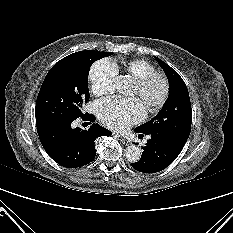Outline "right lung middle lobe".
<instances>
[{
	"mask_svg": "<svg viewBox=\"0 0 233 233\" xmlns=\"http://www.w3.org/2000/svg\"><path fill=\"white\" fill-rule=\"evenodd\" d=\"M112 52L84 50L58 61L46 75L39 91L36 125L58 124L81 117L89 100L88 75L91 65Z\"/></svg>",
	"mask_w": 233,
	"mask_h": 233,
	"instance_id": "right-lung-middle-lobe-1",
	"label": "right lung middle lobe"
}]
</instances>
